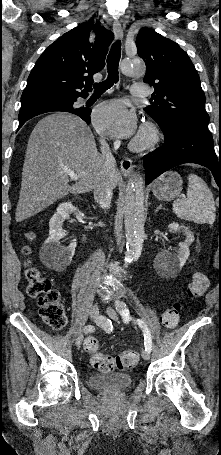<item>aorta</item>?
<instances>
[{
    "mask_svg": "<svg viewBox=\"0 0 221 455\" xmlns=\"http://www.w3.org/2000/svg\"><path fill=\"white\" fill-rule=\"evenodd\" d=\"M145 70L144 63L138 57H127L121 63V71L126 76H141ZM144 221V179L142 175L136 174L129 179L125 193L126 261L136 260L141 255L145 236Z\"/></svg>",
    "mask_w": 221,
    "mask_h": 455,
    "instance_id": "aorta-1",
    "label": "aorta"
}]
</instances>
